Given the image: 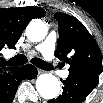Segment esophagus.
I'll return each instance as SVG.
<instances>
[{"label":"esophagus","mask_w":103,"mask_h":103,"mask_svg":"<svg viewBox=\"0 0 103 103\" xmlns=\"http://www.w3.org/2000/svg\"><path fill=\"white\" fill-rule=\"evenodd\" d=\"M42 73H44V71L41 69H38V74H42Z\"/></svg>","instance_id":"1"}]
</instances>
